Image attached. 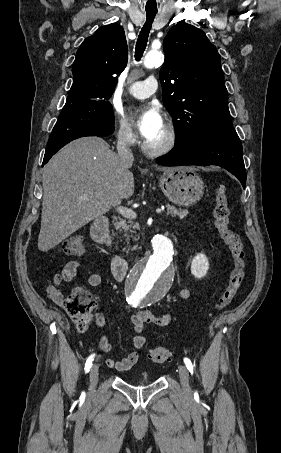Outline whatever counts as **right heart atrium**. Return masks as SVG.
I'll return each mask as SVG.
<instances>
[{"label": "right heart atrium", "mask_w": 281, "mask_h": 453, "mask_svg": "<svg viewBox=\"0 0 281 453\" xmlns=\"http://www.w3.org/2000/svg\"><path fill=\"white\" fill-rule=\"evenodd\" d=\"M111 125L114 129L117 141L124 147H131L136 143L137 130L135 126L124 116L119 115L112 119ZM108 169L113 173L127 172L125 165L116 157H111Z\"/></svg>", "instance_id": "right-heart-atrium-1"}]
</instances>
